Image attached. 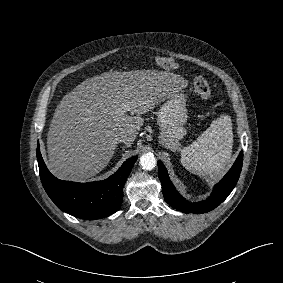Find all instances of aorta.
<instances>
[{
	"label": "aorta",
	"instance_id": "762f6f07",
	"mask_svg": "<svg viewBox=\"0 0 283 283\" xmlns=\"http://www.w3.org/2000/svg\"><path fill=\"white\" fill-rule=\"evenodd\" d=\"M156 158L152 153L143 154L140 157V165L144 170H152L156 166Z\"/></svg>",
	"mask_w": 283,
	"mask_h": 283
}]
</instances>
